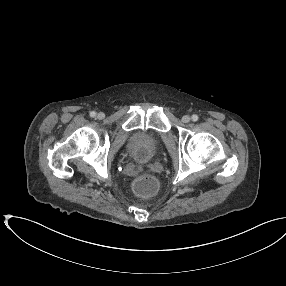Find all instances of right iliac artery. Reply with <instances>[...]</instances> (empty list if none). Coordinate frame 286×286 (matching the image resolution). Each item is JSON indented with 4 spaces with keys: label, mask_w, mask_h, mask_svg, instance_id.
I'll use <instances>...</instances> for the list:
<instances>
[{
    "label": "right iliac artery",
    "mask_w": 286,
    "mask_h": 286,
    "mask_svg": "<svg viewBox=\"0 0 286 286\" xmlns=\"http://www.w3.org/2000/svg\"><path fill=\"white\" fill-rule=\"evenodd\" d=\"M90 116H91V117H95V116H96V112H95V111H91V112H90Z\"/></svg>",
    "instance_id": "1"
}]
</instances>
